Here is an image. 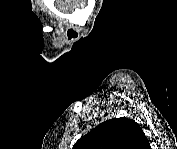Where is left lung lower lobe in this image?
I'll use <instances>...</instances> for the list:
<instances>
[{"label": "left lung lower lobe", "instance_id": "1", "mask_svg": "<svg viewBox=\"0 0 177 149\" xmlns=\"http://www.w3.org/2000/svg\"><path fill=\"white\" fill-rule=\"evenodd\" d=\"M147 147L149 148V142H148V145H147Z\"/></svg>", "mask_w": 177, "mask_h": 149}]
</instances>
